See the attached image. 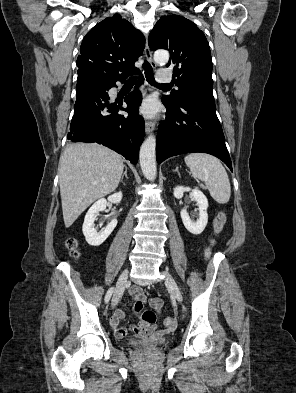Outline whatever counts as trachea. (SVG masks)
Here are the masks:
<instances>
[{"mask_svg":"<svg viewBox=\"0 0 296 393\" xmlns=\"http://www.w3.org/2000/svg\"><path fill=\"white\" fill-rule=\"evenodd\" d=\"M142 67L145 70V76H146L148 83H150L151 85H154V86H159V87H170V85H168V84L159 85L155 82L152 66L147 61H145L143 63ZM135 82H136V78L130 77L127 81V84H134Z\"/></svg>","mask_w":296,"mask_h":393,"instance_id":"1","label":"trachea"}]
</instances>
